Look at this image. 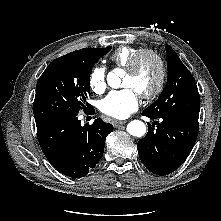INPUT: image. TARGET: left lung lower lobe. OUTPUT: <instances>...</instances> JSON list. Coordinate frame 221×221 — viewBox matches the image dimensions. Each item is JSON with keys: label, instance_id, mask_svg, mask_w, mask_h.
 I'll return each mask as SVG.
<instances>
[{"label": "left lung lower lobe", "instance_id": "1", "mask_svg": "<svg viewBox=\"0 0 221 221\" xmlns=\"http://www.w3.org/2000/svg\"><path fill=\"white\" fill-rule=\"evenodd\" d=\"M142 115L156 119L145 111ZM156 131L148 123V133L137 143L146 168L156 175H167L178 169L192 150L199 130L197 119L161 118Z\"/></svg>", "mask_w": 221, "mask_h": 221}]
</instances>
